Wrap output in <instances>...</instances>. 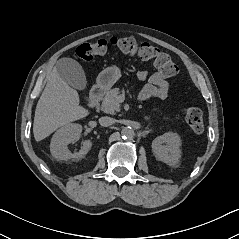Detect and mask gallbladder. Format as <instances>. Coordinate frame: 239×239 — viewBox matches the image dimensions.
I'll list each match as a JSON object with an SVG mask.
<instances>
[{
    "mask_svg": "<svg viewBox=\"0 0 239 239\" xmlns=\"http://www.w3.org/2000/svg\"><path fill=\"white\" fill-rule=\"evenodd\" d=\"M61 78L70 86L84 90L87 84L82 66L72 58H61L55 66Z\"/></svg>",
    "mask_w": 239,
    "mask_h": 239,
    "instance_id": "1",
    "label": "gallbladder"
}]
</instances>
